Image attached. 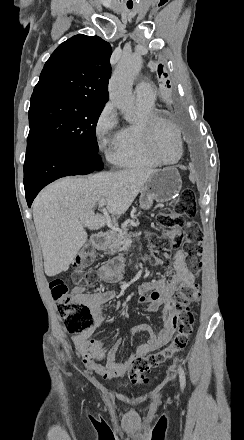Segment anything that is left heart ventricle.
<instances>
[{"label":"left heart ventricle","instance_id":"obj_1","mask_svg":"<svg viewBox=\"0 0 244 440\" xmlns=\"http://www.w3.org/2000/svg\"><path fill=\"white\" fill-rule=\"evenodd\" d=\"M155 128L156 134L153 140L156 144L155 149L164 160H174L178 152L177 134L167 126L163 127L162 124H158Z\"/></svg>","mask_w":244,"mask_h":440}]
</instances>
